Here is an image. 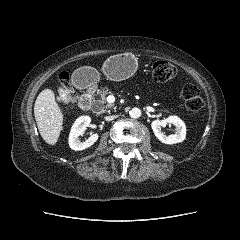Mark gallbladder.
I'll use <instances>...</instances> for the list:
<instances>
[{
    "label": "gallbladder",
    "instance_id": "gallbladder-1",
    "mask_svg": "<svg viewBox=\"0 0 240 240\" xmlns=\"http://www.w3.org/2000/svg\"><path fill=\"white\" fill-rule=\"evenodd\" d=\"M62 92H63L62 90L59 91L60 94H61Z\"/></svg>",
    "mask_w": 240,
    "mask_h": 240
}]
</instances>
